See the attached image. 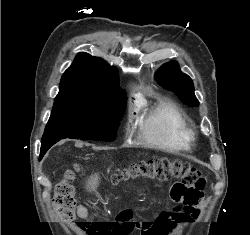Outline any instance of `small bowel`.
Returning <instances> with one entry per match:
<instances>
[{
	"label": "small bowel",
	"mask_w": 250,
	"mask_h": 235,
	"mask_svg": "<svg viewBox=\"0 0 250 235\" xmlns=\"http://www.w3.org/2000/svg\"><path fill=\"white\" fill-rule=\"evenodd\" d=\"M200 209V204L197 206L180 204V209L175 210L173 208L171 212L161 215L158 220L165 225V232L163 235L175 232L180 224L195 220L198 217ZM78 215L81 218L86 217L87 209L84 206H79Z\"/></svg>",
	"instance_id": "obj_1"
}]
</instances>
